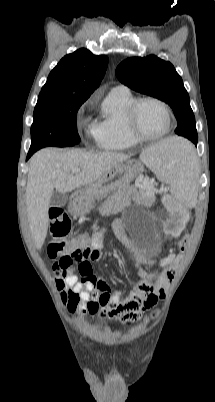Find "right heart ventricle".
<instances>
[{
  "instance_id": "e07e8e85",
  "label": "right heart ventricle",
  "mask_w": 215,
  "mask_h": 402,
  "mask_svg": "<svg viewBox=\"0 0 215 402\" xmlns=\"http://www.w3.org/2000/svg\"><path fill=\"white\" fill-rule=\"evenodd\" d=\"M135 99L128 89H112L108 93L95 124V139L99 148L125 150L140 142L130 135L126 125L127 109Z\"/></svg>"
}]
</instances>
